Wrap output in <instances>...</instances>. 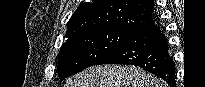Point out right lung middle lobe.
Segmentation results:
<instances>
[{"mask_svg": "<svg viewBox=\"0 0 205 87\" xmlns=\"http://www.w3.org/2000/svg\"><path fill=\"white\" fill-rule=\"evenodd\" d=\"M132 32L123 30L89 31L62 44L59 52L58 75L65 79L94 65L123 43Z\"/></svg>", "mask_w": 205, "mask_h": 87, "instance_id": "right-lung-middle-lobe-1", "label": "right lung middle lobe"}]
</instances>
